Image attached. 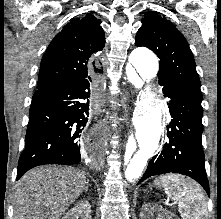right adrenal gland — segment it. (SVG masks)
<instances>
[{
  "label": "right adrenal gland",
  "mask_w": 221,
  "mask_h": 219,
  "mask_svg": "<svg viewBox=\"0 0 221 219\" xmlns=\"http://www.w3.org/2000/svg\"><path fill=\"white\" fill-rule=\"evenodd\" d=\"M91 186L90 184H87L86 188H85V192L88 191V187Z\"/></svg>",
  "instance_id": "2a0ac1e0"
}]
</instances>
